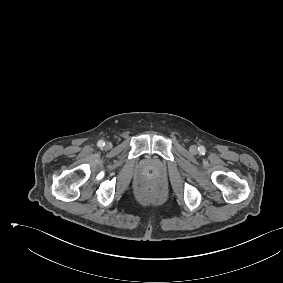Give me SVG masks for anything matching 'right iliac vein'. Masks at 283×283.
I'll use <instances>...</instances> for the list:
<instances>
[{
  "label": "right iliac vein",
  "instance_id": "right-iliac-vein-1",
  "mask_svg": "<svg viewBox=\"0 0 283 283\" xmlns=\"http://www.w3.org/2000/svg\"><path fill=\"white\" fill-rule=\"evenodd\" d=\"M105 147H106L107 149L111 148V143H110V142H107V143L105 144Z\"/></svg>",
  "mask_w": 283,
  "mask_h": 283
}]
</instances>
